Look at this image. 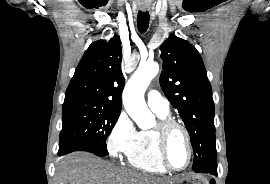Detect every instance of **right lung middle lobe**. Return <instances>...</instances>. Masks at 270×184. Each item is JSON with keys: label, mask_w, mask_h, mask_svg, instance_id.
Wrapping results in <instances>:
<instances>
[{"label": "right lung middle lobe", "mask_w": 270, "mask_h": 184, "mask_svg": "<svg viewBox=\"0 0 270 184\" xmlns=\"http://www.w3.org/2000/svg\"><path fill=\"white\" fill-rule=\"evenodd\" d=\"M120 111L83 100H65L59 151L75 146H87L108 156L106 139L110 135Z\"/></svg>", "instance_id": "dd1d6c3e"}]
</instances>
